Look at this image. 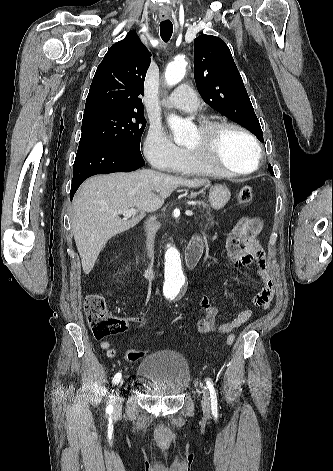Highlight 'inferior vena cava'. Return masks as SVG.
I'll return each instance as SVG.
<instances>
[{
  "label": "inferior vena cava",
  "mask_w": 333,
  "mask_h": 471,
  "mask_svg": "<svg viewBox=\"0 0 333 471\" xmlns=\"http://www.w3.org/2000/svg\"><path fill=\"white\" fill-rule=\"evenodd\" d=\"M159 226L156 222H151L146 226V231H147V239H146V248L148 251V256L149 258L152 259L154 258V240H155V234L158 230Z\"/></svg>",
  "instance_id": "1"
}]
</instances>
